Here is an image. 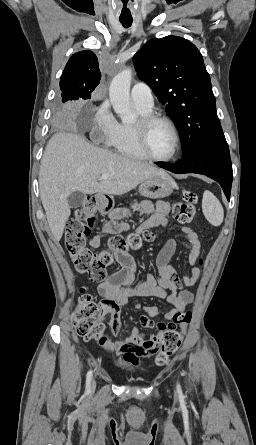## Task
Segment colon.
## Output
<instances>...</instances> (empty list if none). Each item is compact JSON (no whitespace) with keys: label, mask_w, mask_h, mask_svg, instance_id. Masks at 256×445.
<instances>
[{"label":"colon","mask_w":256,"mask_h":445,"mask_svg":"<svg viewBox=\"0 0 256 445\" xmlns=\"http://www.w3.org/2000/svg\"><path fill=\"white\" fill-rule=\"evenodd\" d=\"M196 200L195 193L183 192L181 200L173 207V218L181 224L190 223L196 215ZM94 207L95 200L93 199H87L83 203L76 217L67 224L64 244L78 272L87 275L93 281H103L106 278V268L115 260L114 251L126 253L129 248H137L143 242L153 240L154 235L150 231H145L142 235H131L127 239L113 236L109 239V250L94 253L86 246L87 237L97 225ZM100 314L101 304L95 302L82 290L72 318L77 334L87 340L103 341L105 327L99 319ZM190 321L191 312L189 311L178 314L174 319V323L180 327H186ZM181 342L182 332L175 328L167 329L162 334L159 346L153 352L155 362L158 365L166 363L180 347Z\"/></svg>","instance_id":"1"}]
</instances>
